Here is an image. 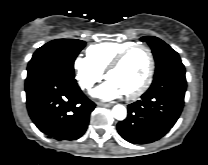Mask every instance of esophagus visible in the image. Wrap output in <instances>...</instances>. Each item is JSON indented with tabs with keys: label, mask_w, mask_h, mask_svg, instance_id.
Returning a JSON list of instances; mask_svg holds the SVG:
<instances>
[{
	"label": "esophagus",
	"mask_w": 208,
	"mask_h": 165,
	"mask_svg": "<svg viewBox=\"0 0 208 165\" xmlns=\"http://www.w3.org/2000/svg\"><path fill=\"white\" fill-rule=\"evenodd\" d=\"M97 105L101 106V107H111L112 106V104H110V103H102V102H97Z\"/></svg>",
	"instance_id": "1"
}]
</instances>
